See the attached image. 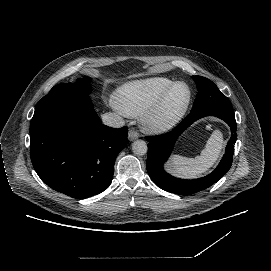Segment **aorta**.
I'll return each instance as SVG.
<instances>
[{"label": "aorta", "mask_w": 271, "mask_h": 271, "mask_svg": "<svg viewBox=\"0 0 271 271\" xmlns=\"http://www.w3.org/2000/svg\"><path fill=\"white\" fill-rule=\"evenodd\" d=\"M147 150V144L143 140H136L132 143V151L136 155H144L147 153Z\"/></svg>", "instance_id": "1"}]
</instances>
